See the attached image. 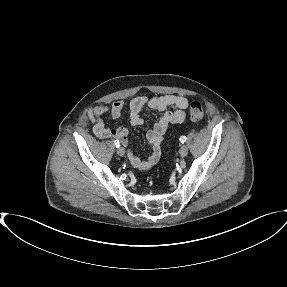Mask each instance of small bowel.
I'll return each instance as SVG.
<instances>
[{"instance_id":"c3829d8e","label":"small bowel","mask_w":287,"mask_h":287,"mask_svg":"<svg viewBox=\"0 0 287 287\" xmlns=\"http://www.w3.org/2000/svg\"><path fill=\"white\" fill-rule=\"evenodd\" d=\"M187 106V98L179 95H156L151 98L141 95L135 97L130 102L127 109L130 115V122L133 126H141L144 124L141 112L146 108L156 111H165L152 129L147 132L146 137L151 148L150 155L145 160H142L128 149L127 156L133 167L139 170H147L157 163L161 155V144L169 125L181 123L184 120ZM125 109L126 105L122 100L115 101L111 104H100L90 109L88 116L93 124L95 136L100 139L116 138L128 147V129L125 127H107L102 120V116L107 113H109L113 119H118Z\"/></svg>"}]
</instances>
